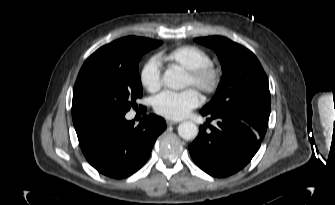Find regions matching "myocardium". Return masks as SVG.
<instances>
[{
    "instance_id": "obj_1",
    "label": "myocardium",
    "mask_w": 335,
    "mask_h": 205,
    "mask_svg": "<svg viewBox=\"0 0 335 205\" xmlns=\"http://www.w3.org/2000/svg\"><path fill=\"white\" fill-rule=\"evenodd\" d=\"M191 85L204 94H213L221 84V69L212 62H208L196 69L188 71Z\"/></svg>"
}]
</instances>
